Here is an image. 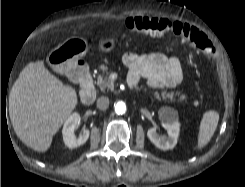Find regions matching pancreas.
<instances>
[{"instance_id":"obj_1","label":"pancreas","mask_w":245,"mask_h":187,"mask_svg":"<svg viewBox=\"0 0 245 187\" xmlns=\"http://www.w3.org/2000/svg\"><path fill=\"white\" fill-rule=\"evenodd\" d=\"M99 69L102 71V74L98 75L97 77V82L96 84L98 85V87L102 90H114V82L112 79H110L109 77V72H108V67L101 65L99 67ZM175 95H179V92H170V93H162L161 95L158 92H155L153 94V97L158 99L159 101L161 99L163 100H170L171 102H174V96ZM187 100V96L185 94L180 95L178 102H182V101H186Z\"/></svg>"}]
</instances>
